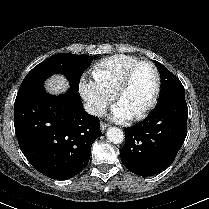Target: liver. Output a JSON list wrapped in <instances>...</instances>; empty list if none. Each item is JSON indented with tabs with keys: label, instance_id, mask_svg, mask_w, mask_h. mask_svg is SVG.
Here are the masks:
<instances>
[{
	"label": "liver",
	"instance_id": "obj_1",
	"mask_svg": "<svg viewBox=\"0 0 209 209\" xmlns=\"http://www.w3.org/2000/svg\"><path fill=\"white\" fill-rule=\"evenodd\" d=\"M46 91L50 94L58 95L68 88L67 79L62 75H53L45 82Z\"/></svg>",
	"mask_w": 209,
	"mask_h": 209
}]
</instances>
